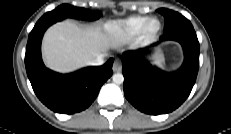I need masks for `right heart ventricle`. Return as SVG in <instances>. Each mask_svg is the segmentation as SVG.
I'll return each instance as SVG.
<instances>
[{
	"label": "right heart ventricle",
	"mask_w": 231,
	"mask_h": 134,
	"mask_svg": "<svg viewBox=\"0 0 231 134\" xmlns=\"http://www.w3.org/2000/svg\"><path fill=\"white\" fill-rule=\"evenodd\" d=\"M147 16H133L122 20L111 21L105 29L113 36L132 38L139 34L143 24L148 20Z\"/></svg>",
	"instance_id": "1"
}]
</instances>
